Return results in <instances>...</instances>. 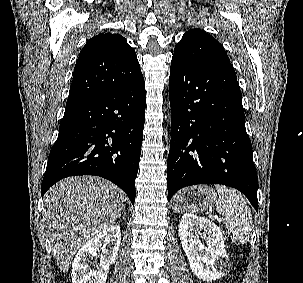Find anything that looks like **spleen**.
Instances as JSON below:
<instances>
[{"instance_id":"spleen-1","label":"spleen","mask_w":303,"mask_h":283,"mask_svg":"<svg viewBox=\"0 0 303 283\" xmlns=\"http://www.w3.org/2000/svg\"><path fill=\"white\" fill-rule=\"evenodd\" d=\"M215 187L219 193L216 209L219 214L226 217L228 235L238 245L246 243L250 238L253 225L250 207L236 190L223 185Z\"/></svg>"}]
</instances>
